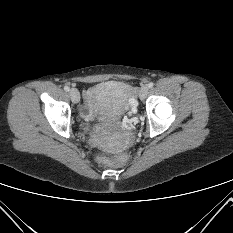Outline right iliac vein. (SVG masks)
Segmentation results:
<instances>
[{"mask_svg": "<svg viewBox=\"0 0 233 233\" xmlns=\"http://www.w3.org/2000/svg\"><path fill=\"white\" fill-rule=\"evenodd\" d=\"M69 94H70L72 102H74V103H78L79 102V100H80V94H79V92H78L77 89L72 88L69 91Z\"/></svg>", "mask_w": 233, "mask_h": 233, "instance_id": "obj_1", "label": "right iliac vein"}]
</instances>
